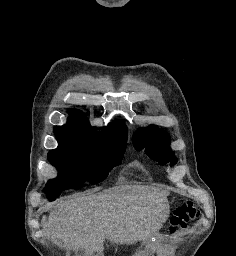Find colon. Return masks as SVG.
I'll use <instances>...</instances> for the list:
<instances>
[{"instance_id": "colon-1", "label": "colon", "mask_w": 236, "mask_h": 256, "mask_svg": "<svg viewBox=\"0 0 236 256\" xmlns=\"http://www.w3.org/2000/svg\"><path fill=\"white\" fill-rule=\"evenodd\" d=\"M199 216V210L192 200L182 203L170 219V234L175 236L186 229L188 223Z\"/></svg>"}]
</instances>
